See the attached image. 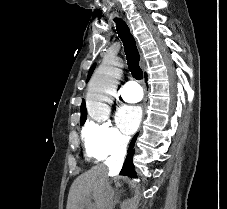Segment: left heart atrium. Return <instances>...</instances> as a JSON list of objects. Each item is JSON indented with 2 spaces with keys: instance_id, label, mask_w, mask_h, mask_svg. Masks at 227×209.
Here are the masks:
<instances>
[{
  "instance_id": "1",
  "label": "left heart atrium",
  "mask_w": 227,
  "mask_h": 209,
  "mask_svg": "<svg viewBox=\"0 0 227 209\" xmlns=\"http://www.w3.org/2000/svg\"><path fill=\"white\" fill-rule=\"evenodd\" d=\"M141 116L142 110L139 105L124 104L118 109L116 120L121 131L130 135L137 129Z\"/></svg>"
}]
</instances>
